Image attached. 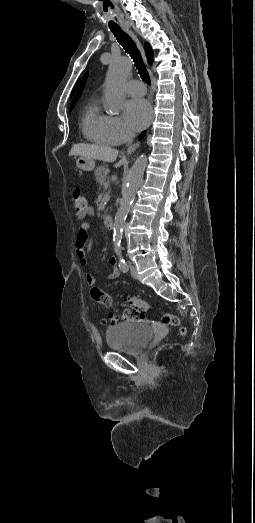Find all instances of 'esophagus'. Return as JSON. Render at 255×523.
<instances>
[{"label":"esophagus","instance_id":"esophagus-1","mask_svg":"<svg viewBox=\"0 0 255 523\" xmlns=\"http://www.w3.org/2000/svg\"><path fill=\"white\" fill-rule=\"evenodd\" d=\"M125 30L129 33V35L135 40L136 44H137V47L138 49L140 50L141 52V55L143 57V60L144 62L147 64V58H146V55H145V52H144V48L143 46L141 45L140 41L138 40V38L136 37V35L133 33V31L129 30L128 28H125ZM152 78V76H151ZM154 117V111L153 109H151V118L153 119ZM138 147V143H135L134 145H131L128 150H127V153H132L135 151V149Z\"/></svg>","mask_w":255,"mask_h":523}]
</instances>
